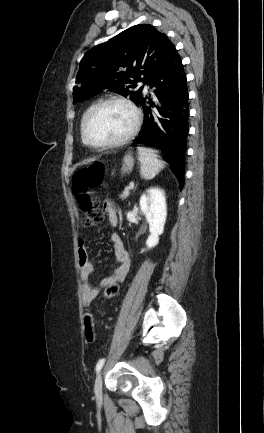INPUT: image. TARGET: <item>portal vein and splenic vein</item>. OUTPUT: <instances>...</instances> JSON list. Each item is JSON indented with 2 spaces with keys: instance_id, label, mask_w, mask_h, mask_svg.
Wrapping results in <instances>:
<instances>
[{
  "instance_id": "portal-vein-and-splenic-vein-1",
  "label": "portal vein and splenic vein",
  "mask_w": 264,
  "mask_h": 433,
  "mask_svg": "<svg viewBox=\"0 0 264 433\" xmlns=\"http://www.w3.org/2000/svg\"><path fill=\"white\" fill-rule=\"evenodd\" d=\"M132 189V187H125V190H124V192H125V194H129V191Z\"/></svg>"
}]
</instances>
